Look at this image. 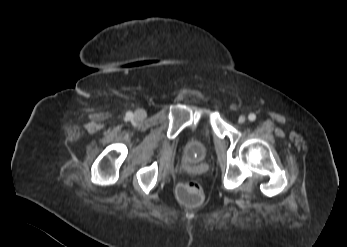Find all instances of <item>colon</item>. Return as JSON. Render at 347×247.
<instances>
[{
    "instance_id": "colon-1",
    "label": "colon",
    "mask_w": 347,
    "mask_h": 247,
    "mask_svg": "<svg viewBox=\"0 0 347 247\" xmlns=\"http://www.w3.org/2000/svg\"><path fill=\"white\" fill-rule=\"evenodd\" d=\"M179 197L186 205L198 206L204 199L203 188L196 181L185 182L179 188Z\"/></svg>"
}]
</instances>
